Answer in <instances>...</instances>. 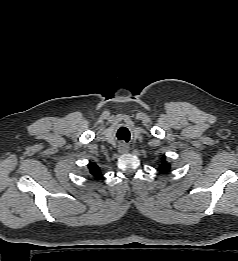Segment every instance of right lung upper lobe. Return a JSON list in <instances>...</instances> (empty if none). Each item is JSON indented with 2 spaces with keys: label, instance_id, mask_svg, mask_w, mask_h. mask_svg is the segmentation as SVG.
Instances as JSON below:
<instances>
[{
  "label": "right lung upper lobe",
  "instance_id": "cb5924a9",
  "mask_svg": "<svg viewBox=\"0 0 238 261\" xmlns=\"http://www.w3.org/2000/svg\"><path fill=\"white\" fill-rule=\"evenodd\" d=\"M88 168H89L90 174H92L94 177L100 178V179L102 178L100 168L95 163L90 162L88 164Z\"/></svg>",
  "mask_w": 238,
  "mask_h": 261
}]
</instances>
